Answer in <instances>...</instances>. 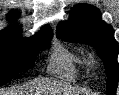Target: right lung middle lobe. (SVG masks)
<instances>
[{
	"label": "right lung middle lobe",
	"mask_w": 119,
	"mask_h": 95,
	"mask_svg": "<svg viewBox=\"0 0 119 95\" xmlns=\"http://www.w3.org/2000/svg\"><path fill=\"white\" fill-rule=\"evenodd\" d=\"M52 33L22 39L21 34L0 36V85L33 66L37 52L49 48Z\"/></svg>",
	"instance_id": "right-lung-middle-lobe-1"
}]
</instances>
